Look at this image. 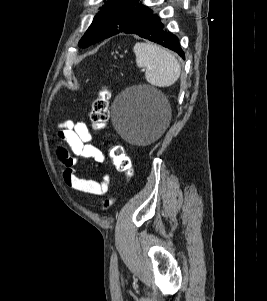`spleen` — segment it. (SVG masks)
<instances>
[{
  "instance_id": "obj_1",
  "label": "spleen",
  "mask_w": 267,
  "mask_h": 301,
  "mask_svg": "<svg viewBox=\"0 0 267 301\" xmlns=\"http://www.w3.org/2000/svg\"><path fill=\"white\" fill-rule=\"evenodd\" d=\"M136 64L145 68V79L157 87H169L180 76V64L168 50L151 43H136L133 47Z\"/></svg>"
}]
</instances>
